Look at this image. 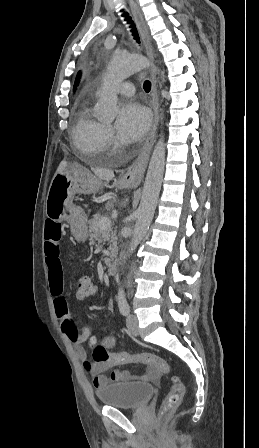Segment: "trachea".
Masks as SVG:
<instances>
[{
  "mask_svg": "<svg viewBox=\"0 0 259 448\" xmlns=\"http://www.w3.org/2000/svg\"><path fill=\"white\" fill-rule=\"evenodd\" d=\"M123 16L126 17V20H127L129 23H132V21H131V17L128 16L127 13H123ZM131 27H132V32H133L134 39L138 42V44H140L139 36H138L137 30H136V28H135V25H131ZM151 86H152V85H151V82H150L149 80H146V81L144 82V84H143V88H144L145 92H147V93L150 92V90H151Z\"/></svg>",
  "mask_w": 259,
  "mask_h": 448,
  "instance_id": "3493384b",
  "label": "trachea"
}]
</instances>
